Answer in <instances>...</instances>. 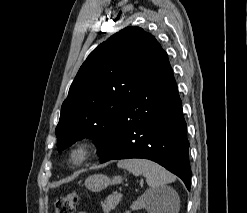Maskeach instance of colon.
<instances>
[{
	"label": "colon",
	"mask_w": 247,
	"mask_h": 213,
	"mask_svg": "<svg viewBox=\"0 0 247 213\" xmlns=\"http://www.w3.org/2000/svg\"><path fill=\"white\" fill-rule=\"evenodd\" d=\"M77 203V195L74 192L69 193L56 201L55 213H75Z\"/></svg>",
	"instance_id": "5ec220e1"
}]
</instances>
